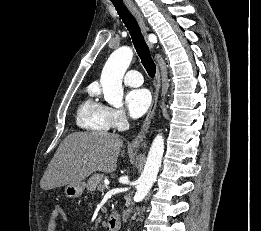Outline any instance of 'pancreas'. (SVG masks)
I'll return each mask as SVG.
<instances>
[{
  "mask_svg": "<svg viewBox=\"0 0 261 231\" xmlns=\"http://www.w3.org/2000/svg\"><path fill=\"white\" fill-rule=\"evenodd\" d=\"M104 178H105L104 175L100 173L91 176L87 181V185H86L87 191L93 192L96 190V188L103 187Z\"/></svg>",
  "mask_w": 261,
  "mask_h": 231,
  "instance_id": "cf45deb5",
  "label": "pancreas"
}]
</instances>
